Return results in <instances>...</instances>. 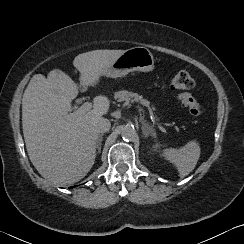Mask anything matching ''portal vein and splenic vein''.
I'll use <instances>...</instances> for the list:
<instances>
[{
	"instance_id": "18ae733b",
	"label": "portal vein and splenic vein",
	"mask_w": 244,
	"mask_h": 244,
	"mask_svg": "<svg viewBox=\"0 0 244 244\" xmlns=\"http://www.w3.org/2000/svg\"><path fill=\"white\" fill-rule=\"evenodd\" d=\"M92 107H94V105H92V103L90 102H85L76 112L75 114L80 115V114H84L87 111H89ZM158 127L160 130H162L163 132H166V130L159 124L157 123Z\"/></svg>"
}]
</instances>
